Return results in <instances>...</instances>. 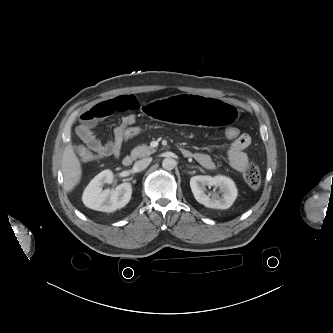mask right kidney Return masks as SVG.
<instances>
[{
  "instance_id": "ca27d5eb",
  "label": "right kidney",
  "mask_w": 333,
  "mask_h": 333,
  "mask_svg": "<svg viewBox=\"0 0 333 333\" xmlns=\"http://www.w3.org/2000/svg\"><path fill=\"white\" fill-rule=\"evenodd\" d=\"M112 180L113 172L108 169L95 176L83 192L82 201L85 206L97 211L114 212L128 204L132 194L130 183H122L115 190L102 191L101 186Z\"/></svg>"
}]
</instances>
